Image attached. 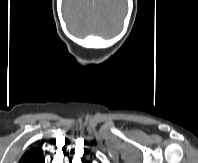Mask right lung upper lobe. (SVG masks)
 Segmentation results:
<instances>
[{"mask_svg":"<svg viewBox=\"0 0 198 163\" xmlns=\"http://www.w3.org/2000/svg\"><path fill=\"white\" fill-rule=\"evenodd\" d=\"M45 158L39 147L28 150L20 159L19 163H44Z\"/></svg>","mask_w":198,"mask_h":163,"instance_id":"1","label":"right lung upper lobe"}]
</instances>
